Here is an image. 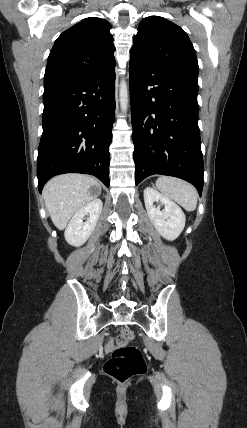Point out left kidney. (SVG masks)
Here are the masks:
<instances>
[{"label": "left kidney", "instance_id": "left-kidney-1", "mask_svg": "<svg viewBox=\"0 0 247 428\" xmlns=\"http://www.w3.org/2000/svg\"><path fill=\"white\" fill-rule=\"evenodd\" d=\"M144 202L148 216L160 235L169 240H175L183 231L185 226V215L182 209L171 199L165 197L155 189L146 187L144 190ZM154 202H160L156 207Z\"/></svg>", "mask_w": 247, "mask_h": 428}]
</instances>
